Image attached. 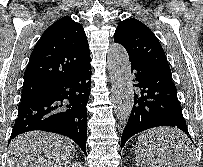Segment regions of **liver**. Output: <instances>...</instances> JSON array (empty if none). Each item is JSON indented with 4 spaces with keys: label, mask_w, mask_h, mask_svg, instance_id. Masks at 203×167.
<instances>
[{
    "label": "liver",
    "mask_w": 203,
    "mask_h": 167,
    "mask_svg": "<svg viewBox=\"0 0 203 167\" xmlns=\"http://www.w3.org/2000/svg\"><path fill=\"white\" fill-rule=\"evenodd\" d=\"M180 134L183 133L176 129L159 127L148 130L141 136L146 144L156 151L159 160H172L168 165L185 167L187 162L172 150V145L177 142ZM74 153L75 147L68 138L43 131H32L11 141L7 167H67Z\"/></svg>",
    "instance_id": "1"
}]
</instances>
